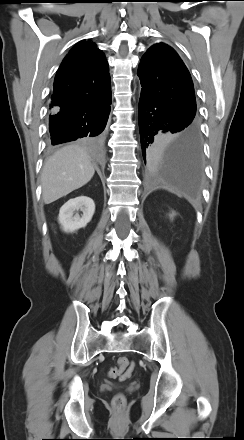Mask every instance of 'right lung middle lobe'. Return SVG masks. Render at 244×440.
Segmentation results:
<instances>
[{
  "instance_id": "right-lung-middle-lobe-1",
  "label": "right lung middle lobe",
  "mask_w": 244,
  "mask_h": 440,
  "mask_svg": "<svg viewBox=\"0 0 244 440\" xmlns=\"http://www.w3.org/2000/svg\"><path fill=\"white\" fill-rule=\"evenodd\" d=\"M85 140L90 141V142H97L100 140V137H87Z\"/></svg>"
}]
</instances>
